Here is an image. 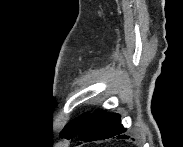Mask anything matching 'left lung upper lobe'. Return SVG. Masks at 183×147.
<instances>
[{
    "label": "left lung upper lobe",
    "mask_w": 183,
    "mask_h": 147,
    "mask_svg": "<svg viewBox=\"0 0 183 147\" xmlns=\"http://www.w3.org/2000/svg\"><path fill=\"white\" fill-rule=\"evenodd\" d=\"M87 117H88L87 114L83 115L80 118L68 124L65 127V129L62 131L61 137H64L67 139L74 138L77 135L78 131L80 130L81 126L83 125Z\"/></svg>",
    "instance_id": "left-lung-upper-lobe-1"
}]
</instances>
